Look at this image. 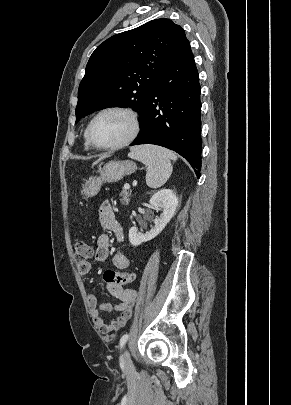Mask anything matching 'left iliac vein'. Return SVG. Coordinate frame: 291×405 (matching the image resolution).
<instances>
[{
  "label": "left iliac vein",
  "mask_w": 291,
  "mask_h": 405,
  "mask_svg": "<svg viewBox=\"0 0 291 405\" xmlns=\"http://www.w3.org/2000/svg\"><path fill=\"white\" fill-rule=\"evenodd\" d=\"M124 366L127 371H130L133 368V363L127 350L124 352Z\"/></svg>",
  "instance_id": "obj_1"
}]
</instances>
